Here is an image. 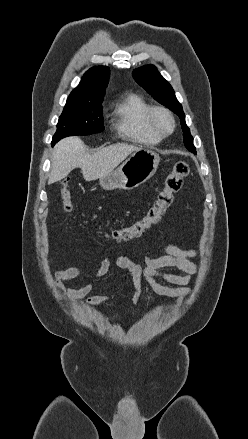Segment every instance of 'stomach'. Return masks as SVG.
I'll return each instance as SVG.
<instances>
[{
  "label": "stomach",
  "instance_id": "obj_1",
  "mask_svg": "<svg viewBox=\"0 0 248 439\" xmlns=\"http://www.w3.org/2000/svg\"><path fill=\"white\" fill-rule=\"evenodd\" d=\"M159 162L160 157L156 152L141 148L134 151L116 170L101 177L100 186L105 190L134 189L155 174Z\"/></svg>",
  "mask_w": 248,
  "mask_h": 439
}]
</instances>
